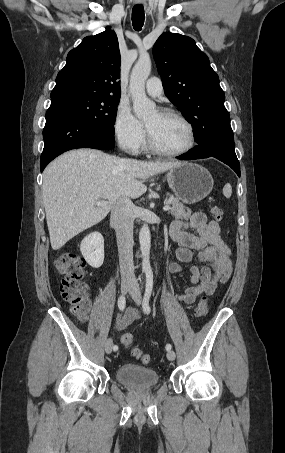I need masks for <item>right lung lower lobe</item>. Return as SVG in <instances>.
Masks as SVG:
<instances>
[{
	"instance_id": "right-lung-lower-lobe-1",
	"label": "right lung lower lobe",
	"mask_w": 285,
	"mask_h": 453,
	"mask_svg": "<svg viewBox=\"0 0 285 453\" xmlns=\"http://www.w3.org/2000/svg\"><path fill=\"white\" fill-rule=\"evenodd\" d=\"M43 139L41 171L54 158L68 150L75 148L109 150L115 144L114 139L95 131L68 107L52 103L46 112Z\"/></svg>"
}]
</instances>
